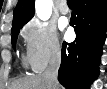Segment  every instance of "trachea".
<instances>
[{"label":"trachea","instance_id":"3493384b","mask_svg":"<svg viewBox=\"0 0 107 89\" xmlns=\"http://www.w3.org/2000/svg\"><path fill=\"white\" fill-rule=\"evenodd\" d=\"M72 0H67V4H72Z\"/></svg>","mask_w":107,"mask_h":89}]
</instances>
